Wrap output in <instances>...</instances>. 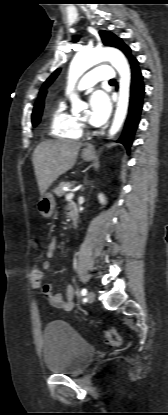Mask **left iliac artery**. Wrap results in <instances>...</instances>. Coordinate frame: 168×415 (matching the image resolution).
Listing matches in <instances>:
<instances>
[{"instance_id": "44dca946", "label": "left iliac artery", "mask_w": 168, "mask_h": 415, "mask_svg": "<svg viewBox=\"0 0 168 415\" xmlns=\"http://www.w3.org/2000/svg\"><path fill=\"white\" fill-rule=\"evenodd\" d=\"M81 295H82V296H86V295H87V290H86L85 288H83V289L81 290Z\"/></svg>"}]
</instances>
